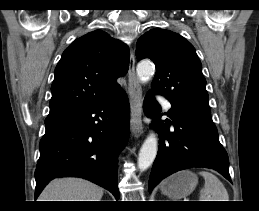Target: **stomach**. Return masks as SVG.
<instances>
[{"label":"stomach","mask_w":259,"mask_h":211,"mask_svg":"<svg viewBox=\"0 0 259 211\" xmlns=\"http://www.w3.org/2000/svg\"><path fill=\"white\" fill-rule=\"evenodd\" d=\"M197 183L196 175L189 171H181L166 179L161 185V191L172 199H180L188 196Z\"/></svg>","instance_id":"obj_1"}]
</instances>
